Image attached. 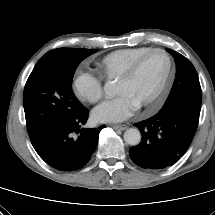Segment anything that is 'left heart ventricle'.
Here are the masks:
<instances>
[{
    "mask_svg": "<svg viewBox=\"0 0 215 215\" xmlns=\"http://www.w3.org/2000/svg\"><path fill=\"white\" fill-rule=\"evenodd\" d=\"M168 67L164 54L147 56L127 81H117L116 93L129 95L137 105L148 101L161 85Z\"/></svg>",
    "mask_w": 215,
    "mask_h": 215,
    "instance_id": "obj_1",
    "label": "left heart ventricle"
}]
</instances>
